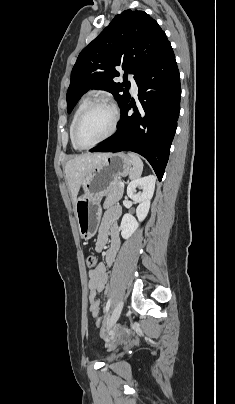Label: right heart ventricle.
<instances>
[{
    "label": "right heart ventricle",
    "mask_w": 235,
    "mask_h": 404,
    "mask_svg": "<svg viewBox=\"0 0 235 404\" xmlns=\"http://www.w3.org/2000/svg\"><path fill=\"white\" fill-rule=\"evenodd\" d=\"M90 103V98L89 97H84L82 98V100L79 102L78 106L76 107L71 122H70V126H69V136H70V141L72 146L76 149V150H80V148H78L74 141H73V128H74V124L76 122V119L78 117V115L80 114V112Z\"/></svg>",
    "instance_id": "1"
}]
</instances>
